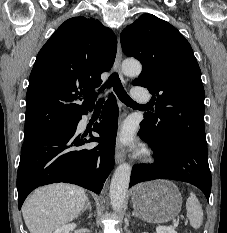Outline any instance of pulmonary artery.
<instances>
[{
	"instance_id": "pulmonary-artery-1",
	"label": "pulmonary artery",
	"mask_w": 227,
	"mask_h": 233,
	"mask_svg": "<svg viewBox=\"0 0 227 233\" xmlns=\"http://www.w3.org/2000/svg\"><path fill=\"white\" fill-rule=\"evenodd\" d=\"M132 94L133 97L139 102L145 103L148 101V98L140 90H133Z\"/></svg>"
}]
</instances>
